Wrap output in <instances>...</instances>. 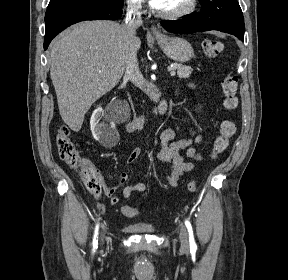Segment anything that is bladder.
Wrapping results in <instances>:
<instances>
[{"label": "bladder", "mask_w": 288, "mask_h": 280, "mask_svg": "<svg viewBox=\"0 0 288 280\" xmlns=\"http://www.w3.org/2000/svg\"><path fill=\"white\" fill-rule=\"evenodd\" d=\"M125 229L132 233H152L155 227L150 223H131L125 226Z\"/></svg>", "instance_id": "1"}]
</instances>
